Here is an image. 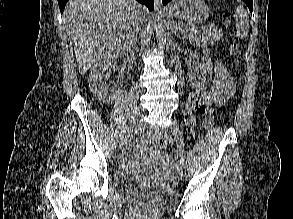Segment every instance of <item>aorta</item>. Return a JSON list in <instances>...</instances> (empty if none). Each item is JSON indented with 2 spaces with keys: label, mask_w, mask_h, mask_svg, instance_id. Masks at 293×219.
<instances>
[{
  "label": "aorta",
  "mask_w": 293,
  "mask_h": 219,
  "mask_svg": "<svg viewBox=\"0 0 293 219\" xmlns=\"http://www.w3.org/2000/svg\"><path fill=\"white\" fill-rule=\"evenodd\" d=\"M154 27L156 30V38L159 46L163 45L167 41V22L162 13L160 0H154Z\"/></svg>",
  "instance_id": "1"
}]
</instances>
